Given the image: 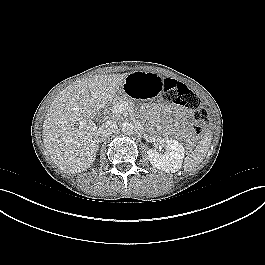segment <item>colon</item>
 <instances>
[{"label": "colon", "mask_w": 265, "mask_h": 265, "mask_svg": "<svg viewBox=\"0 0 265 265\" xmlns=\"http://www.w3.org/2000/svg\"><path fill=\"white\" fill-rule=\"evenodd\" d=\"M163 90L166 102L195 110L192 117V128L195 133L200 134L207 129L208 112L201 106L199 97L192 90L185 84L170 78L163 80Z\"/></svg>", "instance_id": "1"}]
</instances>
